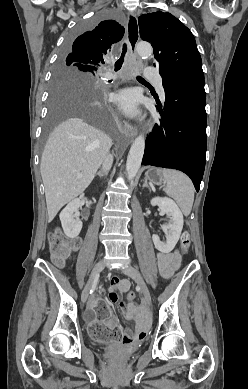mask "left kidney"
<instances>
[{"mask_svg": "<svg viewBox=\"0 0 248 389\" xmlns=\"http://www.w3.org/2000/svg\"><path fill=\"white\" fill-rule=\"evenodd\" d=\"M152 206H158L163 214L170 218V222L165 225L166 241H161L157 234H153L152 239L155 248L163 253L171 252L177 244L184 220L183 215L176 203L167 197H155L151 200Z\"/></svg>", "mask_w": 248, "mask_h": 389, "instance_id": "1", "label": "left kidney"}]
</instances>
